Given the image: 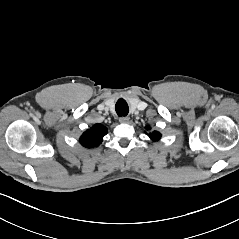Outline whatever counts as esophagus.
<instances>
[{
  "label": "esophagus",
  "instance_id": "34e87169",
  "mask_svg": "<svg viewBox=\"0 0 239 239\" xmlns=\"http://www.w3.org/2000/svg\"><path fill=\"white\" fill-rule=\"evenodd\" d=\"M119 122H120V123H128V122H129V118H128V117H125V116L120 117V118H119Z\"/></svg>",
  "mask_w": 239,
  "mask_h": 239
}]
</instances>
